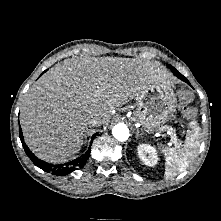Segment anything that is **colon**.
<instances>
[{"instance_id":"1","label":"colon","mask_w":221,"mask_h":221,"mask_svg":"<svg viewBox=\"0 0 221 221\" xmlns=\"http://www.w3.org/2000/svg\"><path fill=\"white\" fill-rule=\"evenodd\" d=\"M191 99V94L188 91H182L180 93V101L184 106L182 107V113L186 117H191L194 115V110L192 108H189L185 106L186 103H188Z\"/></svg>"}]
</instances>
